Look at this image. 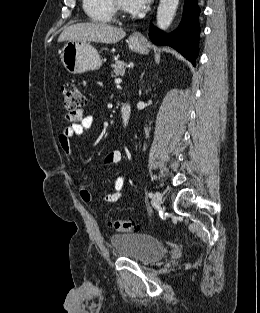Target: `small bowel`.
<instances>
[{"instance_id":"1","label":"small bowel","mask_w":260,"mask_h":313,"mask_svg":"<svg viewBox=\"0 0 260 313\" xmlns=\"http://www.w3.org/2000/svg\"><path fill=\"white\" fill-rule=\"evenodd\" d=\"M65 119L70 124L61 130V132L58 134L57 141L60 149L65 152L68 155L69 160L73 162L71 155V139L85 135L86 132L93 127L95 118L92 115H84L83 111L78 109L74 112H68L65 115ZM122 159V151L115 150L105 156L104 163L108 165H116L121 163ZM125 188L126 175L125 173L121 172L115 179L113 191L108 194H103L101 197L105 202H116L123 196ZM79 195L86 203H90L93 200L91 191L84 185L79 187Z\"/></svg>"}]
</instances>
